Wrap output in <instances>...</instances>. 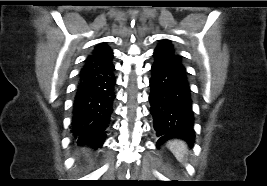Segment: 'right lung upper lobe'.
<instances>
[{"instance_id": "cb5924a9", "label": "right lung upper lobe", "mask_w": 267, "mask_h": 186, "mask_svg": "<svg viewBox=\"0 0 267 186\" xmlns=\"http://www.w3.org/2000/svg\"><path fill=\"white\" fill-rule=\"evenodd\" d=\"M112 57V50L105 43H100L87 57L85 60V65L82 69L103 65L104 63L111 61Z\"/></svg>"}]
</instances>
